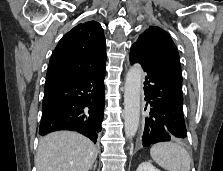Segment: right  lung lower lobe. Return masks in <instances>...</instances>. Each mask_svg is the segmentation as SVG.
I'll return each mask as SVG.
<instances>
[{"label":"right lung lower lobe","mask_w":223,"mask_h":171,"mask_svg":"<svg viewBox=\"0 0 223 171\" xmlns=\"http://www.w3.org/2000/svg\"><path fill=\"white\" fill-rule=\"evenodd\" d=\"M105 74L104 66L81 80L44 90L39 134L72 130L96 143L103 120Z\"/></svg>","instance_id":"obj_1"}]
</instances>
